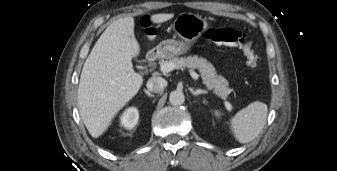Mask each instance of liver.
<instances>
[{
	"mask_svg": "<svg viewBox=\"0 0 337 171\" xmlns=\"http://www.w3.org/2000/svg\"><path fill=\"white\" fill-rule=\"evenodd\" d=\"M174 14L150 17L163 23ZM140 53L134 36V18L114 21L101 34L86 59L78 87V107L83 123L93 138L102 135L117 112L139 91L143 77L134 72L132 58Z\"/></svg>",
	"mask_w": 337,
	"mask_h": 171,
	"instance_id": "6515ba94",
	"label": "liver"
}]
</instances>
